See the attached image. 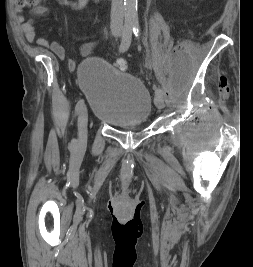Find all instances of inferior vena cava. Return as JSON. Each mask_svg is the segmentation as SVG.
<instances>
[{"label": "inferior vena cava", "instance_id": "1", "mask_svg": "<svg viewBox=\"0 0 253 267\" xmlns=\"http://www.w3.org/2000/svg\"><path fill=\"white\" fill-rule=\"evenodd\" d=\"M111 30H122L124 22L123 0H112L111 4Z\"/></svg>", "mask_w": 253, "mask_h": 267}]
</instances>
